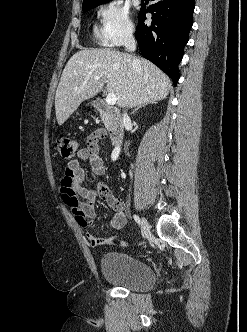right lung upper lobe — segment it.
I'll use <instances>...</instances> for the list:
<instances>
[{"label":"right lung upper lobe","instance_id":"cb5924a9","mask_svg":"<svg viewBox=\"0 0 247 332\" xmlns=\"http://www.w3.org/2000/svg\"><path fill=\"white\" fill-rule=\"evenodd\" d=\"M106 1H109V0H83V5L82 6L99 4V3L106 2Z\"/></svg>","mask_w":247,"mask_h":332}]
</instances>
